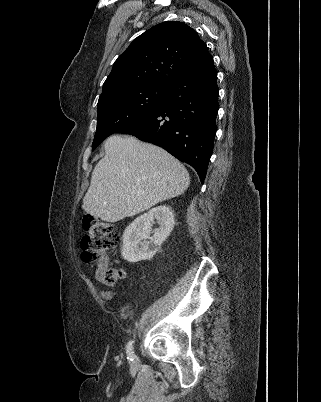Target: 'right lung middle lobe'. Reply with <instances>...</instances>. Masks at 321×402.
Segmentation results:
<instances>
[{"label":"right lung middle lobe","instance_id":"right-lung-middle-lobe-1","mask_svg":"<svg viewBox=\"0 0 321 402\" xmlns=\"http://www.w3.org/2000/svg\"><path fill=\"white\" fill-rule=\"evenodd\" d=\"M166 94L167 86L149 85L120 91L99 101L92 150L111 134L155 110Z\"/></svg>","mask_w":321,"mask_h":402}]
</instances>
